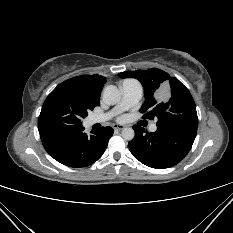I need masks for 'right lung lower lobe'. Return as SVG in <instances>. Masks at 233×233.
I'll return each instance as SVG.
<instances>
[{"label":"right lung lower lobe","mask_w":233,"mask_h":233,"mask_svg":"<svg viewBox=\"0 0 233 233\" xmlns=\"http://www.w3.org/2000/svg\"><path fill=\"white\" fill-rule=\"evenodd\" d=\"M40 133L42 144L50 156L70 167H85L98 160L104 153L113 134L111 127H102L84 133V127L71 130H45Z\"/></svg>","instance_id":"1"}]
</instances>
